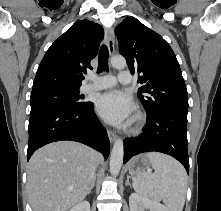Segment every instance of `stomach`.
<instances>
[{
	"label": "stomach",
	"mask_w": 221,
	"mask_h": 211,
	"mask_svg": "<svg viewBox=\"0 0 221 211\" xmlns=\"http://www.w3.org/2000/svg\"><path fill=\"white\" fill-rule=\"evenodd\" d=\"M151 167V163L146 155H139L134 157L128 164V170L130 174L138 175L144 172H148Z\"/></svg>",
	"instance_id": "stomach-1"
}]
</instances>
